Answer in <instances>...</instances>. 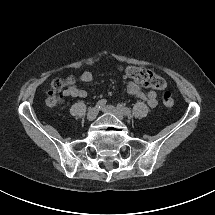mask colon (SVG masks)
<instances>
[{
	"label": "colon",
	"mask_w": 215,
	"mask_h": 215,
	"mask_svg": "<svg viewBox=\"0 0 215 215\" xmlns=\"http://www.w3.org/2000/svg\"><path fill=\"white\" fill-rule=\"evenodd\" d=\"M121 70L126 77L133 79L146 87L158 90H162L166 87V81L164 78L152 70L133 65L126 66ZM73 83L74 79L71 77L65 79H54L45 100L46 105L50 108L58 106L62 101V89L72 86ZM162 101L166 107H172L174 105V99L169 91H164Z\"/></svg>",
	"instance_id": "1"
}]
</instances>
